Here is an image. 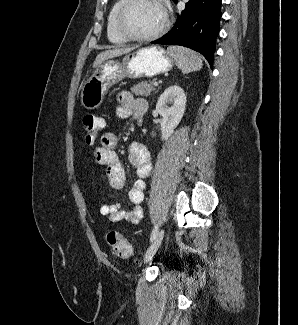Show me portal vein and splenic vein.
Returning a JSON list of instances; mask_svg holds the SVG:
<instances>
[{"instance_id":"portal-vein-and-splenic-vein-1","label":"portal vein and splenic vein","mask_w":298,"mask_h":325,"mask_svg":"<svg viewBox=\"0 0 298 325\" xmlns=\"http://www.w3.org/2000/svg\"><path fill=\"white\" fill-rule=\"evenodd\" d=\"M154 86H158L159 82H153Z\"/></svg>"}]
</instances>
